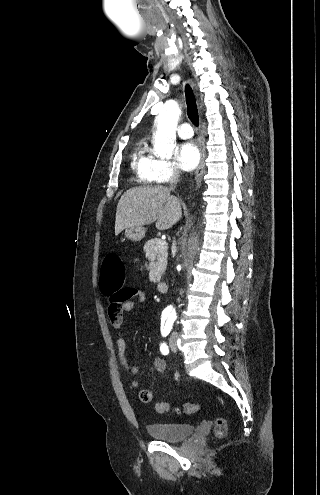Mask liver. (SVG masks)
Instances as JSON below:
<instances>
[{
    "label": "liver",
    "mask_w": 320,
    "mask_h": 495,
    "mask_svg": "<svg viewBox=\"0 0 320 495\" xmlns=\"http://www.w3.org/2000/svg\"><path fill=\"white\" fill-rule=\"evenodd\" d=\"M182 216L179 200L167 187H137L127 190L120 198L115 220V235L131 226L156 222V228H171Z\"/></svg>",
    "instance_id": "1"
}]
</instances>
